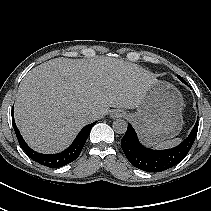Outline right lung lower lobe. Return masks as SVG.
<instances>
[{
	"mask_svg": "<svg viewBox=\"0 0 211 211\" xmlns=\"http://www.w3.org/2000/svg\"><path fill=\"white\" fill-rule=\"evenodd\" d=\"M12 123H13V128L15 130L16 137L18 139L19 145L21 148L25 151V153L30 157L32 160L35 162L50 167V168H59L62 166H65L74 160L77 159V157L80 155L85 142L90 134L91 128L93 127L96 122L88 124L85 126L77 135L75 138L74 142L62 151L61 153L58 154H42L38 153L34 150H32L24 141L22 138L16 124L14 121V116H13V110H12Z\"/></svg>",
	"mask_w": 211,
	"mask_h": 211,
	"instance_id": "98d812e1",
	"label": "right lung lower lobe"
}]
</instances>
